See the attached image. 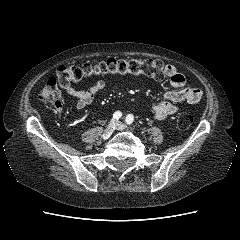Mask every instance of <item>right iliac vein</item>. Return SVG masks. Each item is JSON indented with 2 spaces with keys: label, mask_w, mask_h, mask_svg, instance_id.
<instances>
[{
  "label": "right iliac vein",
  "mask_w": 240,
  "mask_h": 240,
  "mask_svg": "<svg viewBox=\"0 0 240 240\" xmlns=\"http://www.w3.org/2000/svg\"><path fill=\"white\" fill-rule=\"evenodd\" d=\"M116 124L117 122L115 120L110 121L102 134V139L107 140L112 135V133L116 129Z\"/></svg>",
  "instance_id": "63e3f726"
}]
</instances>
